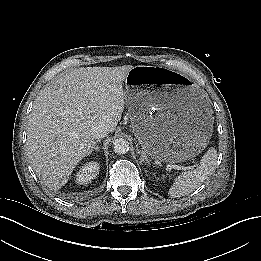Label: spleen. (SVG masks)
Masks as SVG:
<instances>
[{
  "instance_id": "3e777b00",
  "label": "spleen",
  "mask_w": 261,
  "mask_h": 261,
  "mask_svg": "<svg viewBox=\"0 0 261 261\" xmlns=\"http://www.w3.org/2000/svg\"><path fill=\"white\" fill-rule=\"evenodd\" d=\"M217 151L210 148L202 157L200 165L193 171H185L175 178L169 189L171 198L181 197L190 194L197 189L214 170L217 161Z\"/></svg>"
}]
</instances>
